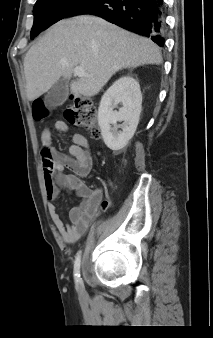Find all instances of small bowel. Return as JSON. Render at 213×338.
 I'll return each instance as SVG.
<instances>
[{
    "instance_id": "1",
    "label": "small bowel",
    "mask_w": 213,
    "mask_h": 338,
    "mask_svg": "<svg viewBox=\"0 0 213 338\" xmlns=\"http://www.w3.org/2000/svg\"><path fill=\"white\" fill-rule=\"evenodd\" d=\"M54 129L58 133L68 132V126L63 121L55 122ZM71 140L68 154H62L52 147L51 129L45 127L41 133L42 175L47 198L53 201L59 196L61 189H65L75 193L81 200L80 206L70 211L69 224L61 219L54 203L48 205L54 226L60 232L62 239L69 244L75 243L84 236L90 223L97 219L98 209L104 203L101 189L90 188L83 181L93 166V157L88 150L86 137L80 133H73ZM65 169L72 172L64 173Z\"/></svg>"
}]
</instances>
